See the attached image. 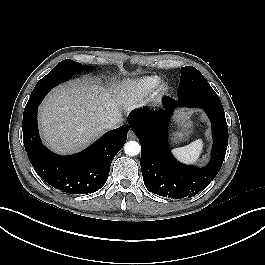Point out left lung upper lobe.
<instances>
[{
  "label": "left lung upper lobe",
  "mask_w": 265,
  "mask_h": 265,
  "mask_svg": "<svg viewBox=\"0 0 265 265\" xmlns=\"http://www.w3.org/2000/svg\"><path fill=\"white\" fill-rule=\"evenodd\" d=\"M202 90L214 92L210 100L202 99L198 94ZM178 99L191 103H201L219 111H224L221 101L203 75L194 67L186 66L181 68L180 85L178 88Z\"/></svg>",
  "instance_id": "1"
}]
</instances>
